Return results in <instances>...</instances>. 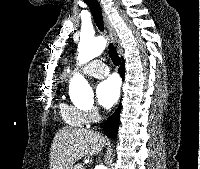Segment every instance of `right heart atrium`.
Returning a JSON list of instances; mask_svg holds the SVG:
<instances>
[{
	"label": "right heart atrium",
	"instance_id": "right-heart-atrium-1",
	"mask_svg": "<svg viewBox=\"0 0 200 169\" xmlns=\"http://www.w3.org/2000/svg\"><path fill=\"white\" fill-rule=\"evenodd\" d=\"M83 111L85 124L97 122L101 116L100 110L96 106H90Z\"/></svg>",
	"mask_w": 200,
	"mask_h": 169
}]
</instances>
